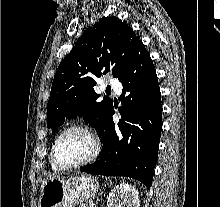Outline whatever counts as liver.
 <instances>
[{
    "mask_svg": "<svg viewBox=\"0 0 220 207\" xmlns=\"http://www.w3.org/2000/svg\"><path fill=\"white\" fill-rule=\"evenodd\" d=\"M47 180H48V179H46V180L43 181V184L41 185V190H42V188H43V186H44V184L46 183Z\"/></svg>",
    "mask_w": 220,
    "mask_h": 207,
    "instance_id": "obj_1",
    "label": "liver"
}]
</instances>
